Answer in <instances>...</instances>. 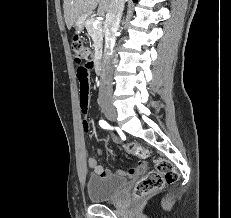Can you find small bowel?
Listing matches in <instances>:
<instances>
[{"mask_svg":"<svg viewBox=\"0 0 231 218\" xmlns=\"http://www.w3.org/2000/svg\"><path fill=\"white\" fill-rule=\"evenodd\" d=\"M93 68V61L87 60L86 63H81V66H77L75 73L77 74V78L79 80V102L80 108L83 113L87 112L88 104H89V96H90V83H89V74L90 69ZM85 130L88 129V124L84 123ZM116 139V138H115ZM88 166L100 176H108L111 174L110 170L105 169L102 165H100L95 157H90L88 159ZM147 169V164L145 161H139L136 167L131 168L127 171L119 170L117 174L119 176H125L128 178H132L138 176L145 172Z\"/></svg>","mask_w":231,"mask_h":218,"instance_id":"c3829d8e","label":"small bowel"}]
</instances>
